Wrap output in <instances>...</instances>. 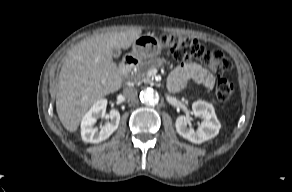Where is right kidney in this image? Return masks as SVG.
I'll return each instance as SVG.
<instances>
[{"label": "right kidney", "instance_id": "obj_1", "mask_svg": "<svg viewBox=\"0 0 292 192\" xmlns=\"http://www.w3.org/2000/svg\"><path fill=\"white\" fill-rule=\"evenodd\" d=\"M106 106V99L98 100L84 115L81 122V137L84 142L99 143L109 138V136L118 128L120 121L119 111L112 109L107 115ZM99 118L110 120L101 130H98V128L94 126Z\"/></svg>", "mask_w": 292, "mask_h": 192}]
</instances>
